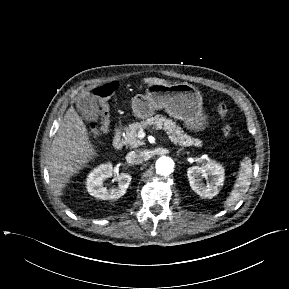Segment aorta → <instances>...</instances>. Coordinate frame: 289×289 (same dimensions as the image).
Masks as SVG:
<instances>
[{
    "mask_svg": "<svg viewBox=\"0 0 289 289\" xmlns=\"http://www.w3.org/2000/svg\"><path fill=\"white\" fill-rule=\"evenodd\" d=\"M156 173L162 176H168L174 170V161L167 156L160 157L155 164Z\"/></svg>",
    "mask_w": 289,
    "mask_h": 289,
    "instance_id": "obj_1",
    "label": "aorta"
}]
</instances>
